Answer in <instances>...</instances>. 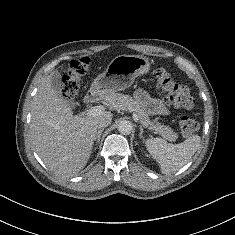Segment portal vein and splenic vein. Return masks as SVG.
Listing matches in <instances>:
<instances>
[{
	"label": "portal vein and splenic vein",
	"instance_id": "portal-vein-and-splenic-vein-1",
	"mask_svg": "<svg viewBox=\"0 0 235 235\" xmlns=\"http://www.w3.org/2000/svg\"><path fill=\"white\" fill-rule=\"evenodd\" d=\"M105 110V107L103 105H99V106H94L92 108H90L88 111H87V115L88 116H97L99 114H101L103 111ZM133 119L135 121H138V116L135 112H133Z\"/></svg>",
	"mask_w": 235,
	"mask_h": 235
}]
</instances>
